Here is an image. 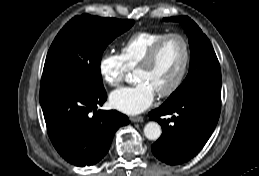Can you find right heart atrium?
<instances>
[{"instance_id": "obj_1", "label": "right heart atrium", "mask_w": 259, "mask_h": 176, "mask_svg": "<svg viewBox=\"0 0 259 176\" xmlns=\"http://www.w3.org/2000/svg\"><path fill=\"white\" fill-rule=\"evenodd\" d=\"M98 71L104 83L111 87H118L123 82L129 69L120 54L106 52L99 60Z\"/></svg>"}]
</instances>
